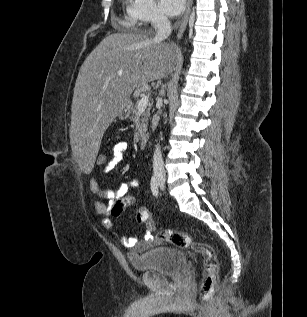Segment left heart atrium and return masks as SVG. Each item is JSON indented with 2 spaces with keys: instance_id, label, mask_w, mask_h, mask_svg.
<instances>
[{
  "instance_id": "1",
  "label": "left heart atrium",
  "mask_w": 307,
  "mask_h": 317,
  "mask_svg": "<svg viewBox=\"0 0 307 317\" xmlns=\"http://www.w3.org/2000/svg\"><path fill=\"white\" fill-rule=\"evenodd\" d=\"M185 1L186 0H159V7L165 15L175 17L183 11Z\"/></svg>"
}]
</instances>
